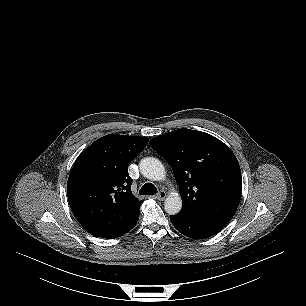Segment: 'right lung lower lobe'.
Masks as SVG:
<instances>
[{"label":"right lung lower lobe","mask_w":306,"mask_h":306,"mask_svg":"<svg viewBox=\"0 0 306 306\" xmlns=\"http://www.w3.org/2000/svg\"><path fill=\"white\" fill-rule=\"evenodd\" d=\"M138 218H139V216L137 217V219L133 222V224L131 225V227L129 228V230H131L135 225H136V223H137V221H138ZM128 230V231H129ZM127 231V232H128Z\"/></svg>","instance_id":"1"}]
</instances>
